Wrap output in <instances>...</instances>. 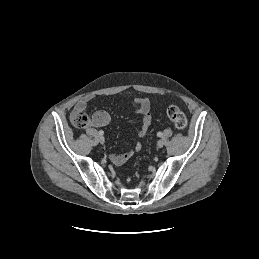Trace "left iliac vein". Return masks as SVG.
Returning <instances> with one entry per match:
<instances>
[{
	"instance_id": "1",
	"label": "left iliac vein",
	"mask_w": 259,
	"mask_h": 259,
	"mask_svg": "<svg viewBox=\"0 0 259 259\" xmlns=\"http://www.w3.org/2000/svg\"><path fill=\"white\" fill-rule=\"evenodd\" d=\"M163 145H164L163 140H158V142H157V146H158V148H162V147H163Z\"/></svg>"
}]
</instances>
